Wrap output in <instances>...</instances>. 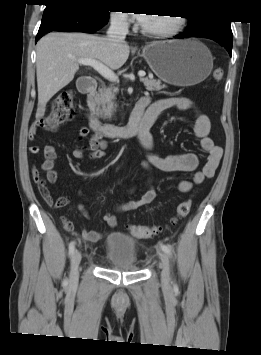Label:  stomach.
<instances>
[{
  "label": "stomach",
  "instance_id": "stomach-1",
  "mask_svg": "<svg viewBox=\"0 0 261 355\" xmlns=\"http://www.w3.org/2000/svg\"><path fill=\"white\" fill-rule=\"evenodd\" d=\"M142 55L159 79L176 86L196 85L213 69L211 52L194 38L153 42Z\"/></svg>",
  "mask_w": 261,
  "mask_h": 355
}]
</instances>
